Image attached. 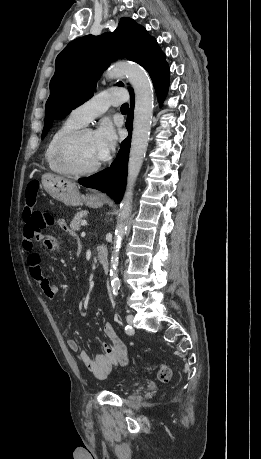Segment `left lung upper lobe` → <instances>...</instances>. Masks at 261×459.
I'll list each match as a JSON object with an SVG mask.
<instances>
[{
  "instance_id": "obj_1",
  "label": "left lung upper lobe",
  "mask_w": 261,
  "mask_h": 459,
  "mask_svg": "<svg viewBox=\"0 0 261 459\" xmlns=\"http://www.w3.org/2000/svg\"><path fill=\"white\" fill-rule=\"evenodd\" d=\"M118 58L137 62L149 72L151 79L168 65L156 40L131 18H121L113 33L88 35L72 41L55 61L42 138L54 120L66 117L93 96L101 73ZM117 85L123 86V83Z\"/></svg>"
}]
</instances>
